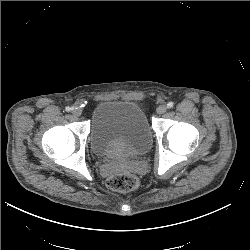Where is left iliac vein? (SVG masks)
Instances as JSON below:
<instances>
[{"mask_svg":"<svg viewBox=\"0 0 250 250\" xmlns=\"http://www.w3.org/2000/svg\"><path fill=\"white\" fill-rule=\"evenodd\" d=\"M166 106L165 105H160L157 109H156V112L157 114H163L166 112Z\"/></svg>","mask_w":250,"mask_h":250,"instance_id":"obj_1","label":"left iliac vein"}]
</instances>
